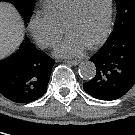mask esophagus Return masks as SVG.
Here are the masks:
<instances>
[{
	"label": "esophagus",
	"mask_w": 135,
	"mask_h": 135,
	"mask_svg": "<svg viewBox=\"0 0 135 135\" xmlns=\"http://www.w3.org/2000/svg\"><path fill=\"white\" fill-rule=\"evenodd\" d=\"M64 62L68 63V64H71V65H74V66H76L80 63L79 60H65Z\"/></svg>",
	"instance_id": "esophagus-1"
}]
</instances>
